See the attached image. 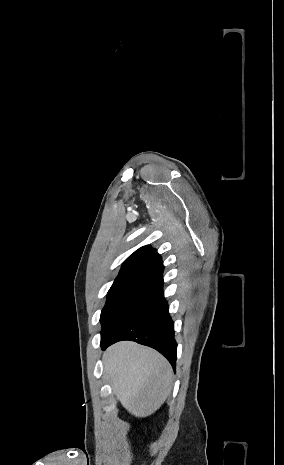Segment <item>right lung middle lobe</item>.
I'll return each instance as SVG.
<instances>
[{"label": "right lung middle lobe", "instance_id": "1", "mask_svg": "<svg viewBox=\"0 0 284 465\" xmlns=\"http://www.w3.org/2000/svg\"><path fill=\"white\" fill-rule=\"evenodd\" d=\"M155 283L144 279L116 278L108 291L107 301L101 312V334L131 309Z\"/></svg>", "mask_w": 284, "mask_h": 465}]
</instances>
